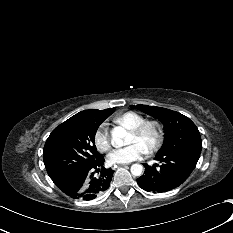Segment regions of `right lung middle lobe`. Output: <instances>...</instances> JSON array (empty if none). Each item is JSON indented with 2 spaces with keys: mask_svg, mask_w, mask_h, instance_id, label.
<instances>
[{
  "mask_svg": "<svg viewBox=\"0 0 233 233\" xmlns=\"http://www.w3.org/2000/svg\"><path fill=\"white\" fill-rule=\"evenodd\" d=\"M114 110L110 108L82 120L64 122L52 131L43 149V159L48 175L56 185L103 157L96 150L95 134Z\"/></svg>",
  "mask_w": 233,
  "mask_h": 233,
  "instance_id": "right-lung-middle-lobe-1",
  "label": "right lung middle lobe"
}]
</instances>
